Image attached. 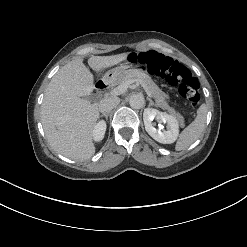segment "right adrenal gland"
I'll list each match as a JSON object with an SVG mask.
<instances>
[{
	"mask_svg": "<svg viewBox=\"0 0 247 247\" xmlns=\"http://www.w3.org/2000/svg\"><path fill=\"white\" fill-rule=\"evenodd\" d=\"M108 116H109V113H103V114L101 115V117H105L106 120L108 119Z\"/></svg>",
	"mask_w": 247,
	"mask_h": 247,
	"instance_id": "2a0ac1e0",
	"label": "right adrenal gland"
}]
</instances>
